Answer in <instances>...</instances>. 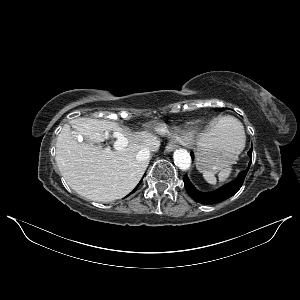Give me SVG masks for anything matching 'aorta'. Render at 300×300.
Masks as SVG:
<instances>
[{
	"label": "aorta",
	"instance_id": "762f6f07",
	"mask_svg": "<svg viewBox=\"0 0 300 300\" xmlns=\"http://www.w3.org/2000/svg\"><path fill=\"white\" fill-rule=\"evenodd\" d=\"M173 159L175 165L181 170H187L191 166V156L185 149H177L174 151Z\"/></svg>",
	"mask_w": 300,
	"mask_h": 300
}]
</instances>
